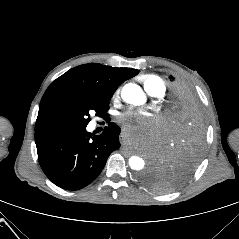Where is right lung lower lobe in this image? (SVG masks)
<instances>
[{
  "label": "right lung lower lobe",
  "mask_w": 239,
  "mask_h": 239,
  "mask_svg": "<svg viewBox=\"0 0 239 239\" xmlns=\"http://www.w3.org/2000/svg\"><path fill=\"white\" fill-rule=\"evenodd\" d=\"M120 128L113 122L101 135L86 126L35 131L38 160L57 186L78 190L89 185L104 168L109 155L120 147Z\"/></svg>",
  "instance_id": "obj_1"
}]
</instances>
